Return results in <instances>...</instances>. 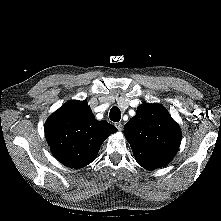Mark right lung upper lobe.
<instances>
[{"label":"right lung upper lobe","mask_w":221,"mask_h":221,"mask_svg":"<svg viewBox=\"0 0 221 221\" xmlns=\"http://www.w3.org/2000/svg\"><path fill=\"white\" fill-rule=\"evenodd\" d=\"M116 131L106 120L96 121L86 101L67 102L45 123L46 140L53 155L72 168L90 164L104 140Z\"/></svg>","instance_id":"right-lung-upper-lobe-1"}]
</instances>
